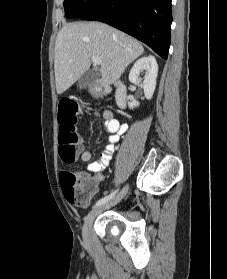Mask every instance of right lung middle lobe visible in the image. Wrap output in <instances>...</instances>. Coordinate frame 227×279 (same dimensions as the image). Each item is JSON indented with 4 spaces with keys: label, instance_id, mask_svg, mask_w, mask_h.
<instances>
[{
    "label": "right lung middle lobe",
    "instance_id": "1",
    "mask_svg": "<svg viewBox=\"0 0 227 279\" xmlns=\"http://www.w3.org/2000/svg\"><path fill=\"white\" fill-rule=\"evenodd\" d=\"M95 0L83 2L82 0H64L65 15L68 18L81 17Z\"/></svg>",
    "mask_w": 227,
    "mask_h": 279
}]
</instances>
